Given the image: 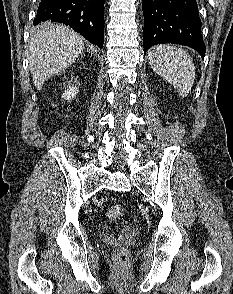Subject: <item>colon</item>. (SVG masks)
Instances as JSON below:
<instances>
[{
	"label": "colon",
	"instance_id": "obj_1",
	"mask_svg": "<svg viewBox=\"0 0 233 294\" xmlns=\"http://www.w3.org/2000/svg\"><path fill=\"white\" fill-rule=\"evenodd\" d=\"M123 214H124V209L120 205H113V206L109 207L108 211H107V215H108L109 219H111L113 221H117V220L121 219ZM127 256H128L127 251L122 248L118 249L115 254L116 260L119 264L125 263Z\"/></svg>",
	"mask_w": 233,
	"mask_h": 294
}]
</instances>
